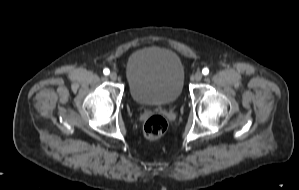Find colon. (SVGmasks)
Returning <instances> with one entry per match:
<instances>
[{"instance_id": "1", "label": "colon", "mask_w": 299, "mask_h": 190, "mask_svg": "<svg viewBox=\"0 0 299 190\" xmlns=\"http://www.w3.org/2000/svg\"><path fill=\"white\" fill-rule=\"evenodd\" d=\"M168 123L162 116L156 115L149 118L144 126L143 133L148 140H157L161 138L167 131Z\"/></svg>"}]
</instances>
